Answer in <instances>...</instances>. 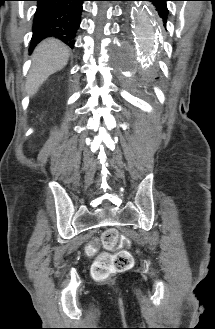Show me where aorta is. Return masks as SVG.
<instances>
[{"label": "aorta", "mask_w": 215, "mask_h": 329, "mask_svg": "<svg viewBox=\"0 0 215 329\" xmlns=\"http://www.w3.org/2000/svg\"><path fill=\"white\" fill-rule=\"evenodd\" d=\"M134 34L146 53H152L157 43V19L154 12L144 5H135Z\"/></svg>", "instance_id": "aorta-1"}]
</instances>
